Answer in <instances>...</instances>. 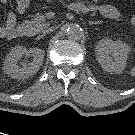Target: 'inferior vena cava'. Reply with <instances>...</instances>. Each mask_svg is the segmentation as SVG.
<instances>
[{
	"mask_svg": "<svg viewBox=\"0 0 135 135\" xmlns=\"http://www.w3.org/2000/svg\"><path fill=\"white\" fill-rule=\"evenodd\" d=\"M55 29L54 28H49L48 30L44 31L43 34H46V33H49V32H52L54 31Z\"/></svg>",
	"mask_w": 135,
	"mask_h": 135,
	"instance_id": "602c4592",
	"label": "inferior vena cava"
}]
</instances>
